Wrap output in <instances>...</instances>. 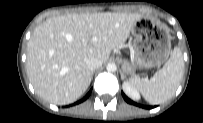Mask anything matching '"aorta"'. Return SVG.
<instances>
[{
  "mask_svg": "<svg viewBox=\"0 0 203 123\" xmlns=\"http://www.w3.org/2000/svg\"><path fill=\"white\" fill-rule=\"evenodd\" d=\"M108 72H115L117 67L115 63H109L106 67Z\"/></svg>",
  "mask_w": 203,
  "mask_h": 123,
  "instance_id": "1",
  "label": "aorta"
}]
</instances>
